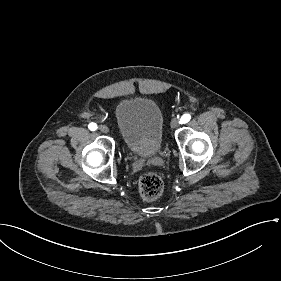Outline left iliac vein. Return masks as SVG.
<instances>
[{
	"instance_id": "obj_1",
	"label": "left iliac vein",
	"mask_w": 281,
	"mask_h": 281,
	"mask_svg": "<svg viewBox=\"0 0 281 281\" xmlns=\"http://www.w3.org/2000/svg\"><path fill=\"white\" fill-rule=\"evenodd\" d=\"M180 124V119L179 118H174L172 119L171 123H170V126L172 129L178 127Z\"/></svg>"
}]
</instances>
